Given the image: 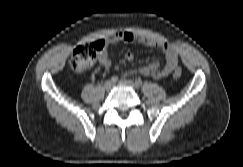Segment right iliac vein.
<instances>
[{
	"label": "right iliac vein",
	"instance_id": "right-iliac-vein-1",
	"mask_svg": "<svg viewBox=\"0 0 243 167\" xmlns=\"http://www.w3.org/2000/svg\"><path fill=\"white\" fill-rule=\"evenodd\" d=\"M112 87H113V83H112L111 81H106V82L104 83V89H105L106 91H110V90L112 89Z\"/></svg>",
	"mask_w": 243,
	"mask_h": 167
}]
</instances>
